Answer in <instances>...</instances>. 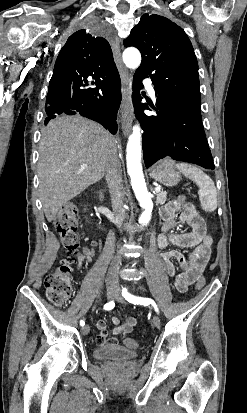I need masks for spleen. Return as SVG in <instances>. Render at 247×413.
Returning a JSON list of instances; mask_svg holds the SVG:
<instances>
[{
    "mask_svg": "<svg viewBox=\"0 0 247 413\" xmlns=\"http://www.w3.org/2000/svg\"><path fill=\"white\" fill-rule=\"evenodd\" d=\"M175 166L178 170H182L185 176H189L198 184L201 207L206 211H215L217 209V190L212 178L205 174L201 168L186 164V162H178Z\"/></svg>",
    "mask_w": 247,
    "mask_h": 413,
    "instance_id": "spleen-1",
    "label": "spleen"
}]
</instances>
